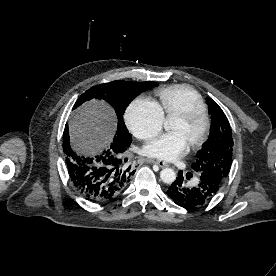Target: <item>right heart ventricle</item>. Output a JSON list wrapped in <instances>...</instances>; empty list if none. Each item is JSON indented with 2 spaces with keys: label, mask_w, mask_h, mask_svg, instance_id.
I'll use <instances>...</instances> for the list:
<instances>
[{
  "label": "right heart ventricle",
  "mask_w": 276,
  "mask_h": 276,
  "mask_svg": "<svg viewBox=\"0 0 276 276\" xmlns=\"http://www.w3.org/2000/svg\"><path fill=\"white\" fill-rule=\"evenodd\" d=\"M159 107L166 117H173L193 107L206 109L201 95L187 85H172L156 92Z\"/></svg>",
  "instance_id": "e07e8e85"
}]
</instances>
